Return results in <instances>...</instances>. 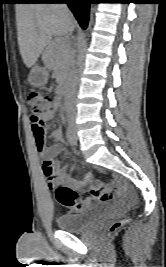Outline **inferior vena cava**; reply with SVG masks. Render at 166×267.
<instances>
[{
  "mask_svg": "<svg viewBox=\"0 0 166 267\" xmlns=\"http://www.w3.org/2000/svg\"><path fill=\"white\" fill-rule=\"evenodd\" d=\"M61 7L66 11L69 12V9L65 3L61 5ZM70 65H71V70H70V89H69V94L70 98L73 101L75 92L77 89V83H78V77H77V69L75 67V62H74V50L70 52Z\"/></svg>",
  "mask_w": 166,
  "mask_h": 267,
  "instance_id": "602c4592",
  "label": "inferior vena cava"
}]
</instances>
